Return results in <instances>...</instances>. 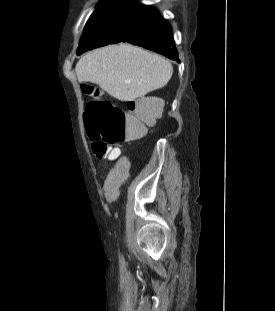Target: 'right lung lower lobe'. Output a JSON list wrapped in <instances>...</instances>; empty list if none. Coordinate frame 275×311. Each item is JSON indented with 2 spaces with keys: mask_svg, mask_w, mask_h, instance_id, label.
Listing matches in <instances>:
<instances>
[{
  "mask_svg": "<svg viewBox=\"0 0 275 311\" xmlns=\"http://www.w3.org/2000/svg\"><path fill=\"white\" fill-rule=\"evenodd\" d=\"M179 61L172 27L158 12L136 24L122 40Z\"/></svg>",
  "mask_w": 275,
  "mask_h": 311,
  "instance_id": "obj_1",
  "label": "right lung lower lobe"
}]
</instances>
